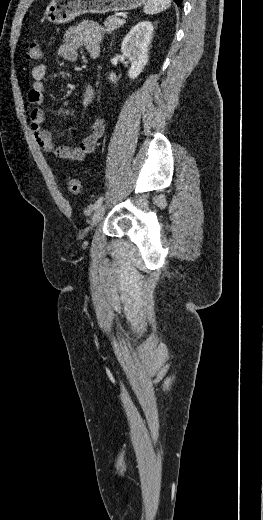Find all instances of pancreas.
<instances>
[{
  "label": "pancreas",
  "instance_id": "1",
  "mask_svg": "<svg viewBox=\"0 0 263 520\" xmlns=\"http://www.w3.org/2000/svg\"><path fill=\"white\" fill-rule=\"evenodd\" d=\"M119 17L112 15L107 17L106 21L104 22L105 29L107 32L111 33L114 30L118 29L121 24L118 23Z\"/></svg>",
  "mask_w": 263,
  "mask_h": 520
}]
</instances>
